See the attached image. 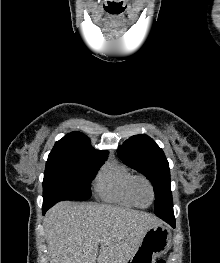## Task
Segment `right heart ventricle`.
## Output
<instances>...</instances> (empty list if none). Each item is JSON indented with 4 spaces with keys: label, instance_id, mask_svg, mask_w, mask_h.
Wrapping results in <instances>:
<instances>
[{
    "label": "right heart ventricle",
    "instance_id": "obj_1",
    "mask_svg": "<svg viewBox=\"0 0 220 263\" xmlns=\"http://www.w3.org/2000/svg\"><path fill=\"white\" fill-rule=\"evenodd\" d=\"M134 176L125 165L117 161L109 162L97 175L94 188L106 202L123 207H134L136 205L130 194V185Z\"/></svg>",
    "mask_w": 220,
    "mask_h": 263
}]
</instances>
